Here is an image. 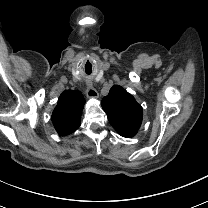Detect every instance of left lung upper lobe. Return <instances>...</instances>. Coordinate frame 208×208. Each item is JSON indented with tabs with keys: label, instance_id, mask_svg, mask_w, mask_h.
I'll return each mask as SVG.
<instances>
[{
	"label": "left lung upper lobe",
	"instance_id": "1",
	"mask_svg": "<svg viewBox=\"0 0 208 208\" xmlns=\"http://www.w3.org/2000/svg\"><path fill=\"white\" fill-rule=\"evenodd\" d=\"M101 105L119 134L135 135L140 128L143 109L135 98L119 85L113 86Z\"/></svg>",
	"mask_w": 208,
	"mask_h": 208
}]
</instances>
